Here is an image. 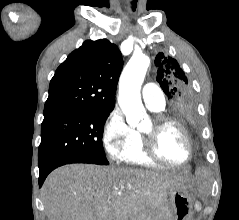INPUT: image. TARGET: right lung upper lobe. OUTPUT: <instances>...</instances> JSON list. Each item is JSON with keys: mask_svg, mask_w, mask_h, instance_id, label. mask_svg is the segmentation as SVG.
I'll use <instances>...</instances> for the list:
<instances>
[{"mask_svg": "<svg viewBox=\"0 0 239 220\" xmlns=\"http://www.w3.org/2000/svg\"><path fill=\"white\" fill-rule=\"evenodd\" d=\"M123 60L106 39L87 40L57 68L49 86L44 114L112 111Z\"/></svg>", "mask_w": 239, "mask_h": 220, "instance_id": "obj_1", "label": "right lung upper lobe"}]
</instances>
